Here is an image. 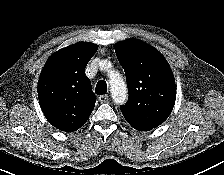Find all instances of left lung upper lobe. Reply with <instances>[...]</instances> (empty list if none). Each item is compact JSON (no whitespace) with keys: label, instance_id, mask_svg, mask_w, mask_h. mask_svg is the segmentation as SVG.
Wrapping results in <instances>:
<instances>
[{"label":"left lung upper lobe","instance_id":"1","mask_svg":"<svg viewBox=\"0 0 224 175\" xmlns=\"http://www.w3.org/2000/svg\"><path fill=\"white\" fill-rule=\"evenodd\" d=\"M115 52L129 91L128 102L121 106L124 118L140 131L156 128L169 117L176 99L169 64L155 48L136 39L116 44Z\"/></svg>","mask_w":224,"mask_h":175}]
</instances>
